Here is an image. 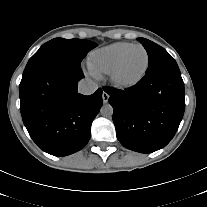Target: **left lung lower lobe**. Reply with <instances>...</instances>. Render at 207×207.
Instances as JSON below:
<instances>
[{
	"instance_id": "0a47b994",
	"label": "left lung lower lobe",
	"mask_w": 207,
	"mask_h": 207,
	"mask_svg": "<svg viewBox=\"0 0 207 207\" xmlns=\"http://www.w3.org/2000/svg\"><path fill=\"white\" fill-rule=\"evenodd\" d=\"M104 91L114 109L116 136L124 147L152 153L174 137L185 110L184 83L177 63L146 74L126 90L105 87Z\"/></svg>"
}]
</instances>
